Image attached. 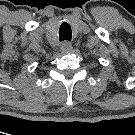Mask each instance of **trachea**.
<instances>
[{"instance_id":"1","label":"trachea","mask_w":135,"mask_h":135,"mask_svg":"<svg viewBox=\"0 0 135 135\" xmlns=\"http://www.w3.org/2000/svg\"><path fill=\"white\" fill-rule=\"evenodd\" d=\"M71 27L68 23L64 22L61 24L60 29H59V38L60 41H70L71 40Z\"/></svg>"}]
</instances>
